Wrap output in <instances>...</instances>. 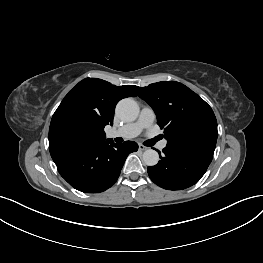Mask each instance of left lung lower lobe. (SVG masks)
<instances>
[{"label": "left lung lower lobe", "mask_w": 263, "mask_h": 263, "mask_svg": "<svg viewBox=\"0 0 263 263\" xmlns=\"http://www.w3.org/2000/svg\"><path fill=\"white\" fill-rule=\"evenodd\" d=\"M163 153L158 164L149 166L147 171L155 184L168 190H181L196 184L212 161L209 157L169 147H165Z\"/></svg>", "instance_id": "0a47b994"}]
</instances>
